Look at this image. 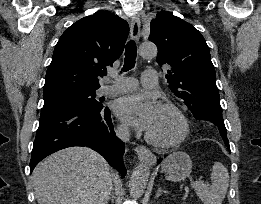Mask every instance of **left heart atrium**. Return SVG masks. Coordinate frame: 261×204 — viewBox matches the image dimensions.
Segmentation results:
<instances>
[{
  "instance_id": "left-heart-atrium-1",
  "label": "left heart atrium",
  "mask_w": 261,
  "mask_h": 204,
  "mask_svg": "<svg viewBox=\"0 0 261 204\" xmlns=\"http://www.w3.org/2000/svg\"><path fill=\"white\" fill-rule=\"evenodd\" d=\"M156 106L145 94H131L120 98L115 106L116 115L136 129L147 131L153 121Z\"/></svg>"
}]
</instances>
